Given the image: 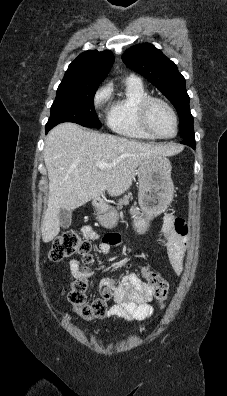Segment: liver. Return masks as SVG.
Wrapping results in <instances>:
<instances>
[{"mask_svg": "<svg viewBox=\"0 0 227 396\" xmlns=\"http://www.w3.org/2000/svg\"><path fill=\"white\" fill-rule=\"evenodd\" d=\"M180 150L179 146L147 144L88 131L74 123L54 127L43 151L49 179L48 207L41 224L43 242L59 234L61 209L74 210L105 190L119 196L131 186L136 168L144 160L172 156ZM98 162L111 166L99 169Z\"/></svg>", "mask_w": 227, "mask_h": 396, "instance_id": "liver-1", "label": "liver"}]
</instances>
